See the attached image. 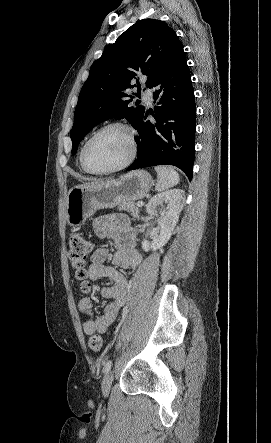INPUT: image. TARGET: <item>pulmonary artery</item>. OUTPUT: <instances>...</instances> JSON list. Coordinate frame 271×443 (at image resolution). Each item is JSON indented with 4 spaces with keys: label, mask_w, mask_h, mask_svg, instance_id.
Here are the masks:
<instances>
[{
    "label": "pulmonary artery",
    "mask_w": 271,
    "mask_h": 443,
    "mask_svg": "<svg viewBox=\"0 0 271 443\" xmlns=\"http://www.w3.org/2000/svg\"><path fill=\"white\" fill-rule=\"evenodd\" d=\"M143 100L147 103V104H152L154 101V93L152 90H147L143 93Z\"/></svg>",
    "instance_id": "e3ab8cb5"
}]
</instances>
